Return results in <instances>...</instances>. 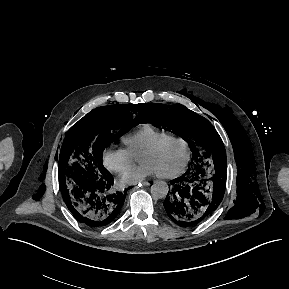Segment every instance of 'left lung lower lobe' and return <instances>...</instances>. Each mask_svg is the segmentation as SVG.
<instances>
[{
	"instance_id": "obj_1",
	"label": "left lung lower lobe",
	"mask_w": 289,
	"mask_h": 289,
	"mask_svg": "<svg viewBox=\"0 0 289 289\" xmlns=\"http://www.w3.org/2000/svg\"><path fill=\"white\" fill-rule=\"evenodd\" d=\"M226 185V163L215 169H188L171 181L163 202L165 212L176 224L187 227L209 218L221 203Z\"/></svg>"
}]
</instances>
